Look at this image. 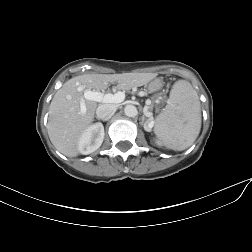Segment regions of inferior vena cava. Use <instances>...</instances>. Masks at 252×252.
Here are the masks:
<instances>
[{
	"label": "inferior vena cava",
	"mask_w": 252,
	"mask_h": 252,
	"mask_svg": "<svg viewBox=\"0 0 252 252\" xmlns=\"http://www.w3.org/2000/svg\"><path fill=\"white\" fill-rule=\"evenodd\" d=\"M116 111V106L113 104H100L96 109V115L101 120L109 119Z\"/></svg>",
	"instance_id": "602c4592"
}]
</instances>
